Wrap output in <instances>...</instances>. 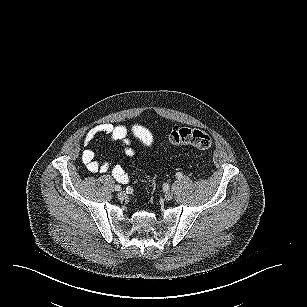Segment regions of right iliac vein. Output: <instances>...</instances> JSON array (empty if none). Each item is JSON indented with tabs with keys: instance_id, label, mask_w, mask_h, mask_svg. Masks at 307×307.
I'll use <instances>...</instances> for the list:
<instances>
[{
	"instance_id": "right-iliac-vein-1",
	"label": "right iliac vein",
	"mask_w": 307,
	"mask_h": 307,
	"mask_svg": "<svg viewBox=\"0 0 307 307\" xmlns=\"http://www.w3.org/2000/svg\"><path fill=\"white\" fill-rule=\"evenodd\" d=\"M118 198L119 200H124L126 198V193L124 191H119Z\"/></svg>"
}]
</instances>
